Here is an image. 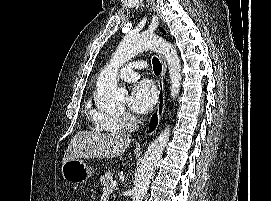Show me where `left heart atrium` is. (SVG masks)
<instances>
[{"mask_svg": "<svg viewBox=\"0 0 271 201\" xmlns=\"http://www.w3.org/2000/svg\"><path fill=\"white\" fill-rule=\"evenodd\" d=\"M157 102V92L150 82H140L131 89L128 105L140 114H146L152 110Z\"/></svg>", "mask_w": 271, "mask_h": 201, "instance_id": "39dd6f15", "label": "left heart atrium"}]
</instances>
